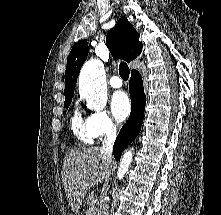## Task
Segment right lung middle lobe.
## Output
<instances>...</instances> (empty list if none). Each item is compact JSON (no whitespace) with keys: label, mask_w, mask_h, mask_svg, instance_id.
I'll list each match as a JSON object with an SVG mask.
<instances>
[{"label":"right lung middle lobe","mask_w":221,"mask_h":215,"mask_svg":"<svg viewBox=\"0 0 221 215\" xmlns=\"http://www.w3.org/2000/svg\"><path fill=\"white\" fill-rule=\"evenodd\" d=\"M71 101H72V100H66V101L64 102V107H65L66 109L69 108V105H70Z\"/></svg>","instance_id":"obj_1"}]
</instances>
